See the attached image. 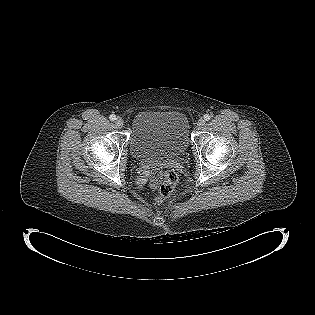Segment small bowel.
<instances>
[{
    "label": "small bowel",
    "instance_id": "obj_1",
    "mask_svg": "<svg viewBox=\"0 0 315 315\" xmlns=\"http://www.w3.org/2000/svg\"><path fill=\"white\" fill-rule=\"evenodd\" d=\"M157 172H158V171L155 172V174H154V176H153V178H152V180H151V182H150V186H151V188H153V189L158 188V186L160 185L161 180H162L161 175L157 174ZM146 176H147L146 172H143L142 177H141V179H140V182H141V183H143V182L145 181Z\"/></svg>",
    "mask_w": 315,
    "mask_h": 315
}]
</instances>
